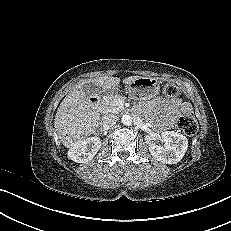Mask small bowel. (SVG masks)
Returning <instances> with one entry per match:
<instances>
[{"label": "small bowel", "mask_w": 231, "mask_h": 231, "mask_svg": "<svg viewBox=\"0 0 231 231\" xmlns=\"http://www.w3.org/2000/svg\"><path fill=\"white\" fill-rule=\"evenodd\" d=\"M150 119L159 130H169L174 126V122L179 114L191 110L187 102L180 99H163L157 97L147 105Z\"/></svg>", "instance_id": "c3829d8e"}]
</instances>
